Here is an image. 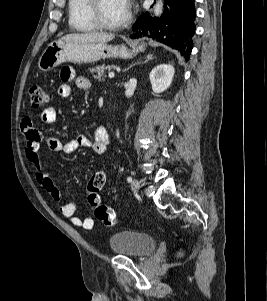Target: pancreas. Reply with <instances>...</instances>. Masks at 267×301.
<instances>
[{
	"mask_svg": "<svg viewBox=\"0 0 267 301\" xmlns=\"http://www.w3.org/2000/svg\"><path fill=\"white\" fill-rule=\"evenodd\" d=\"M114 68H116V66L113 65V64L99 65V66H96L95 68H90V72L91 73H96L93 77L100 81L104 76L105 70H111V69H114Z\"/></svg>",
	"mask_w": 267,
	"mask_h": 301,
	"instance_id": "obj_1",
	"label": "pancreas"
}]
</instances>
